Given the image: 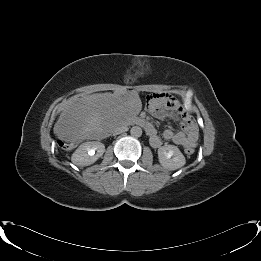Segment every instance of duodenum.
I'll list each match as a JSON object with an SVG mask.
<instances>
[{
  "label": "duodenum",
  "instance_id": "obj_1",
  "mask_svg": "<svg viewBox=\"0 0 261 261\" xmlns=\"http://www.w3.org/2000/svg\"><path fill=\"white\" fill-rule=\"evenodd\" d=\"M135 122H136L137 124H139V125L145 127V128H146V131H147V129H148V123H149V122H147L144 118H138V119L135 120ZM147 133H148V132H147Z\"/></svg>",
  "mask_w": 261,
  "mask_h": 261
}]
</instances>
